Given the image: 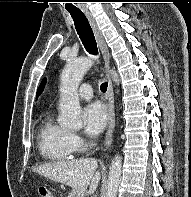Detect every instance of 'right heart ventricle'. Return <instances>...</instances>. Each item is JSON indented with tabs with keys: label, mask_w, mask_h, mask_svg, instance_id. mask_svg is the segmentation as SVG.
Segmentation results:
<instances>
[{
	"label": "right heart ventricle",
	"mask_w": 191,
	"mask_h": 197,
	"mask_svg": "<svg viewBox=\"0 0 191 197\" xmlns=\"http://www.w3.org/2000/svg\"><path fill=\"white\" fill-rule=\"evenodd\" d=\"M38 149L50 161L71 159L73 150L68 142V130L54 121L53 113L44 114L37 135Z\"/></svg>",
	"instance_id": "1"
}]
</instances>
